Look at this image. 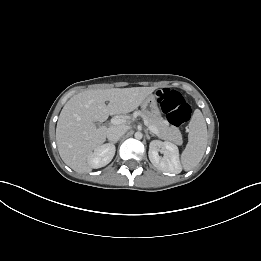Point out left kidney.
Listing matches in <instances>:
<instances>
[{
    "label": "left kidney",
    "mask_w": 261,
    "mask_h": 261,
    "mask_svg": "<svg viewBox=\"0 0 261 261\" xmlns=\"http://www.w3.org/2000/svg\"><path fill=\"white\" fill-rule=\"evenodd\" d=\"M159 152L163 153V157L159 156ZM148 156L151 163L161 171L178 174L182 170L178 147L171 142L151 141Z\"/></svg>",
    "instance_id": "1"
}]
</instances>
